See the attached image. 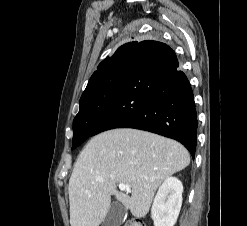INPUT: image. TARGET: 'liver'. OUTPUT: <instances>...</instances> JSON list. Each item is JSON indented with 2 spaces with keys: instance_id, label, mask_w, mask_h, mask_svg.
<instances>
[{
  "instance_id": "1",
  "label": "liver",
  "mask_w": 247,
  "mask_h": 226,
  "mask_svg": "<svg viewBox=\"0 0 247 226\" xmlns=\"http://www.w3.org/2000/svg\"><path fill=\"white\" fill-rule=\"evenodd\" d=\"M190 163L187 149L172 139L121 128L93 137L80 153L68 186L71 226H99L111 196L133 216L149 212L159 185ZM131 186V197L117 190Z\"/></svg>"
}]
</instances>
